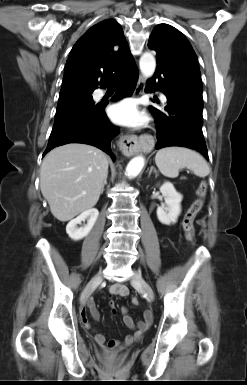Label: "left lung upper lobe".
<instances>
[{
	"label": "left lung upper lobe",
	"instance_id": "left-lung-upper-lobe-1",
	"mask_svg": "<svg viewBox=\"0 0 247 385\" xmlns=\"http://www.w3.org/2000/svg\"><path fill=\"white\" fill-rule=\"evenodd\" d=\"M148 47L156 51L157 59L166 63L192 89L202 94L197 56L180 31L170 25L160 24L154 28Z\"/></svg>",
	"mask_w": 247,
	"mask_h": 385
}]
</instances>
